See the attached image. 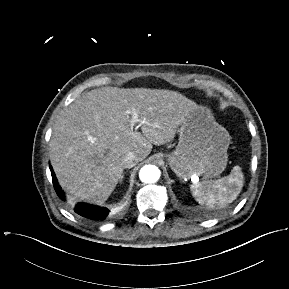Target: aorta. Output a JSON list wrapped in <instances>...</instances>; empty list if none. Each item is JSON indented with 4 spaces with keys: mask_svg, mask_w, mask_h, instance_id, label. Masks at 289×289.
I'll use <instances>...</instances> for the list:
<instances>
[{
    "mask_svg": "<svg viewBox=\"0 0 289 289\" xmlns=\"http://www.w3.org/2000/svg\"><path fill=\"white\" fill-rule=\"evenodd\" d=\"M139 178L143 183H154L160 178V170L154 165H145L140 169Z\"/></svg>",
    "mask_w": 289,
    "mask_h": 289,
    "instance_id": "762f6f07",
    "label": "aorta"
}]
</instances>
